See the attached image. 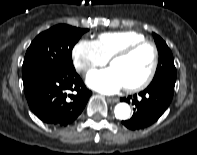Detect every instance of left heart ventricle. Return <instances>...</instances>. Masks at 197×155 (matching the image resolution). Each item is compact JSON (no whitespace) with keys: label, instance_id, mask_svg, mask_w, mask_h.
<instances>
[{"label":"left heart ventricle","instance_id":"obj_1","mask_svg":"<svg viewBox=\"0 0 197 155\" xmlns=\"http://www.w3.org/2000/svg\"><path fill=\"white\" fill-rule=\"evenodd\" d=\"M153 52L149 46H144L131 55L115 60L113 67L123 80L124 86L141 82L152 66Z\"/></svg>","mask_w":197,"mask_h":155}]
</instances>
